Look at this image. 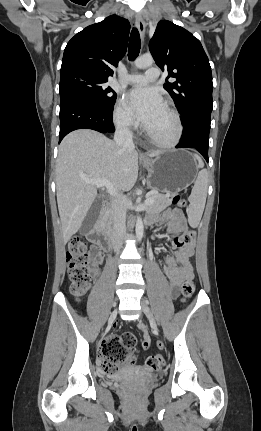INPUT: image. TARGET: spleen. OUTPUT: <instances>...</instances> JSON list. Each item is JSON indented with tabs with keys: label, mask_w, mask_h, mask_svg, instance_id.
Returning a JSON list of instances; mask_svg holds the SVG:
<instances>
[{
	"label": "spleen",
	"mask_w": 261,
	"mask_h": 431,
	"mask_svg": "<svg viewBox=\"0 0 261 431\" xmlns=\"http://www.w3.org/2000/svg\"><path fill=\"white\" fill-rule=\"evenodd\" d=\"M194 157L198 160V166L200 168L204 167V163L202 159L198 155H194ZM207 188H208V175L205 169H202L197 176L195 184L192 188L191 195L189 197L190 202V211L195 216L200 217L203 213L206 197H207Z\"/></svg>",
	"instance_id": "obj_1"
}]
</instances>
